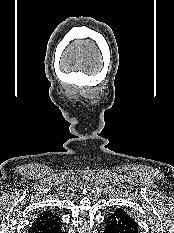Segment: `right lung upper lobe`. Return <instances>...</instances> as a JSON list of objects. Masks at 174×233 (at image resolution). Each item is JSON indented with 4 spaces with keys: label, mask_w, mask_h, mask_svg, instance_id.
<instances>
[{
    "label": "right lung upper lobe",
    "mask_w": 174,
    "mask_h": 233,
    "mask_svg": "<svg viewBox=\"0 0 174 233\" xmlns=\"http://www.w3.org/2000/svg\"><path fill=\"white\" fill-rule=\"evenodd\" d=\"M61 223V219L52 212L44 211L39 214L37 218L31 224L29 228L30 233H36L37 231L53 227Z\"/></svg>",
    "instance_id": "1"
}]
</instances>
